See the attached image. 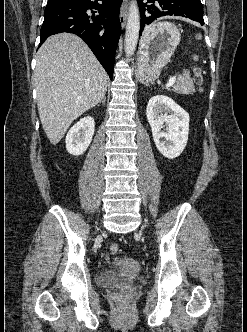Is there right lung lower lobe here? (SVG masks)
<instances>
[{
  "mask_svg": "<svg viewBox=\"0 0 247 332\" xmlns=\"http://www.w3.org/2000/svg\"><path fill=\"white\" fill-rule=\"evenodd\" d=\"M101 1L102 4L91 0H48L40 32V45L53 34H77L90 47L112 79L115 52L121 34L119 10L122 0ZM93 9L98 11V16L90 17L87 14L88 10Z\"/></svg>",
  "mask_w": 247,
  "mask_h": 332,
  "instance_id": "1",
  "label": "right lung lower lobe"
}]
</instances>
